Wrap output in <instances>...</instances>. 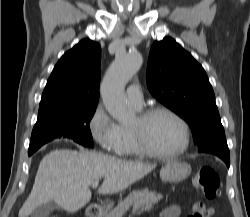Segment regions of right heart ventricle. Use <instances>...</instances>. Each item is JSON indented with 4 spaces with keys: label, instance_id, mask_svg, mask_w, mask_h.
Listing matches in <instances>:
<instances>
[{
    "label": "right heart ventricle",
    "instance_id": "e07e8e85",
    "mask_svg": "<svg viewBox=\"0 0 250 217\" xmlns=\"http://www.w3.org/2000/svg\"><path fill=\"white\" fill-rule=\"evenodd\" d=\"M120 130L122 135V147L119 154L125 157H138L145 155L136 143L132 128L120 126Z\"/></svg>",
    "mask_w": 250,
    "mask_h": 217
}]
</instances>
